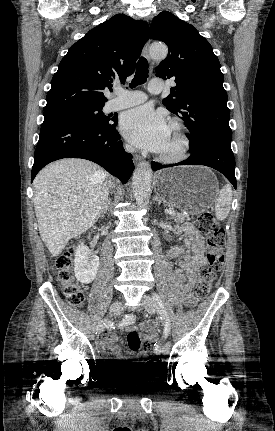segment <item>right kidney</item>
<instances>
[{
    "label": "right kidney",
    "mask_w": 275,
    "mask_h": 431,
    "mask_svg": "<svg viewBox=\"0 0 275 431\" xmlns=\"http://www.w3.org/2000/svg\"><path fill=\"white\" fill-rule=\"evenodd\" d=\"M99 268V257L94 255L91 250L81 243L75 250L74 273L76 279L83 283H91Z\"/></svg>",
    "instance_id": "ca27d5eb"
}]
</instances>
